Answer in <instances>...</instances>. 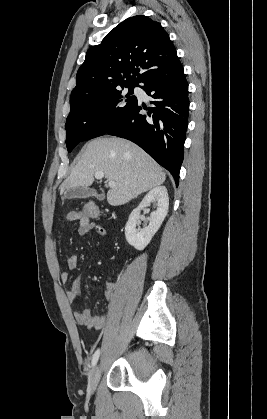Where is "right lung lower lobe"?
<instances>
[{"instance_id":"obj_1","label":"right lung lower lobe","mask_w":267,"mask_h":419,"mask_svg":"<svg viewBox=\"0 0 267 419\" xmlns=\"http://www.w3.org/2000/svg\"><path fill=\"white\" fill-rule=\"evenodd\" d=\"M141 87L153 98L148 109L138 100L106 134L126 138L144 149L179 181L188 126V83L180 61L152 72ZM142 109L147 114H142Z\"/></svg>"}]
</instances>
